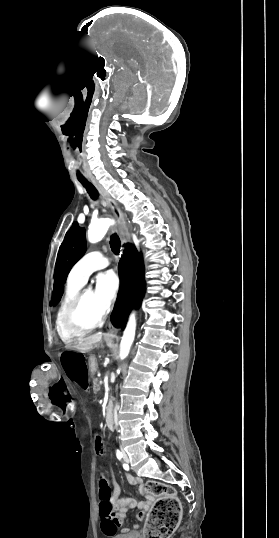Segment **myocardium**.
Listing matches in <instances>:
<instances>
[{"label":"myocardium","instance_id":"1","mask_svg":"<svg viewBox=\"0 0 279 538\" xmlns=\"http://www.w3.org/2000/svg\"><path fill=\"white\" fill-rule=\"evenodd\" d=\"M90 289H81L75 298L66 307L61 324L62 328L72 337H80L96 330L103 322L105 314L101 315L95 321L89 324H82L78 321L77 315L85 303L86 294Z\"/></svg>","mask_w":279,"mask_h":538}]
</instances>
